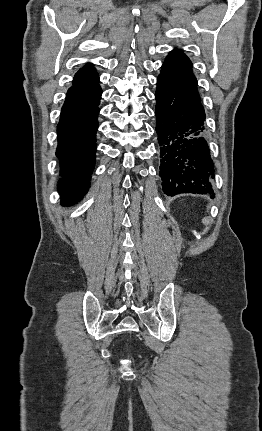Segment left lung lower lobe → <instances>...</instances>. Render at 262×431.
I'll return each instance as SVG.
<instances>
[{"label": "left lung lower lobe", "mask_w": 262, "mask_h": 431, "mask_svg": "<svg viewBox=\"0 0 262 431\" xmlns=\"http://www.w3.org/2000/svg\"><path fill=\"white\" fill-rule=\"evenodd\" d=\"M155 96L164 193H211L214 163L205 137V112L200 99L160 77Z\"/></svg>", "instance_id": "left-lung-lower-lobe-1"}]
</instances>
